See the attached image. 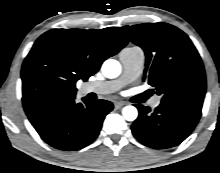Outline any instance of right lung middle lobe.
Returning <instances> with one entry per match:
<instances>
[{
	"instance_id": "right-lung-middle-lobe-1",
	"label": "right lung middle lobe",
	"mask_w": 220,
	"mask_h": 173,
	"mask_svg": "<svg viewBox=\"0 0 220 173\" xmlns=\"http://www.w3.org/2000/svg\"><path fill=\"white\" fill-rule=\"evenodd\" d=\"M24 108H25V107H24ZM33 109H35V108H32V107H31V104H29V110H27V108H25V111H26V113H27V112H29V111H31V110H33Z\"/></svg>"
}]
</instances>
